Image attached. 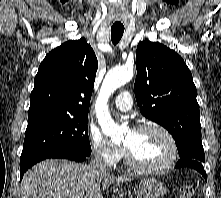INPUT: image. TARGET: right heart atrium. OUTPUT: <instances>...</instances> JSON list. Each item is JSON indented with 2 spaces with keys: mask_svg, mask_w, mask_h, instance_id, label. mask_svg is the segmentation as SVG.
<instances>
[{
  "mask_svg": "<svg viewBox=\"0 0 221 198\" xmlns=\"http://www.w3.org/2000/svg\"><path fill=\"white\" fill-rule=\"evenodd\" d=\"M88 141L93 155L108 166L117 164L123 155L120 147L110 142L95 128H89Z\"/></svg>",
  "mask_w": 221,
  "mask_h": 198,
  "instance_id": "right-heart-atrium-1",
  "label": "right heart atrium"
}]
</instances>
